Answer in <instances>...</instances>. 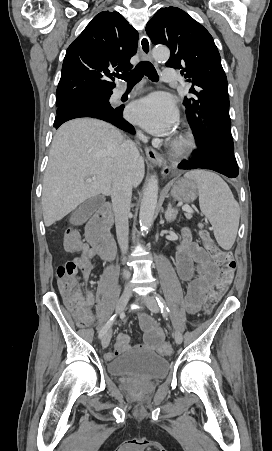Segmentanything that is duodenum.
I'll return each instance as SVG.
<instances>
[{
	"label": "duodenum",
	"instance_id": "1",
	"mask_svg": "<svg viewBox=\"0 0 272 451\" xmlns=\"http://www.w3.org/2000/svg\"><path fill=\"white\" fill-rule=\"evenodd\" d=\"M111 224L110 205L104 204L86 227L87 241L98 255L105 260H110L114 256L115 242L110 233Z\"/></svg>",
	"mask_w": 272,
	"mask_h": 451
}]
</instances>
